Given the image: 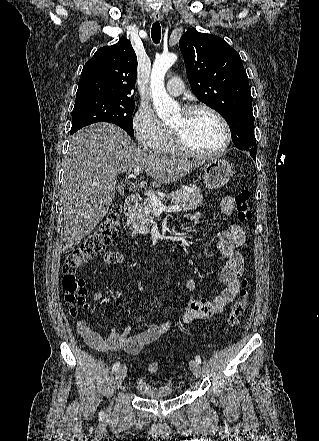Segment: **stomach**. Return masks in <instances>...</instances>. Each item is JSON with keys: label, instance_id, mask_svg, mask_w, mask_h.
Returning <instances> with one entry per match:
<instances>
[{"label": "stomach", "instance_id": "0dacf381", "mask_svg": "<svg viewBox=\"0 0 319 441\" xmlns=\"http://www.w3.org/2000/svg\"><path fill=\"white\" fill-rule=\"evenodd\" d=\"M232 174L233 171L228 162L211 159L204 166V184L209 189L220 188L230 180Z\"/></svg>", "mask_w": 319, "mask_h": 441}]
</instances>
